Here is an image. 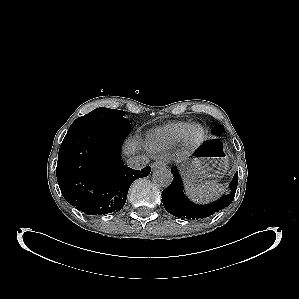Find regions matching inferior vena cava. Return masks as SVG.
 <instances>
[{"instance_id":"obj_1","label":"inferior vena cava","mask_w":299,"mask_h":299,"mask_svg":"<svg viewBox=\"0 0 299 299\" xmlns=\"http://www.w3.org/2000/svg\"><path fill=\"white\" fill-rule=\"evenodd\" d=\"M149 163V158L143 155H137L127 160V165L133 169H142Z\"/></svg>"}]
</instances>
